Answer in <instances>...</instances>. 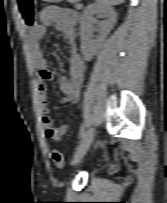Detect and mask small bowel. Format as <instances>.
Here are the masks:
<instances>
[{
    "mask_svg": "<svg viewBox=\"0 0 167 203\" xmlns=\"http://www.w3.org/2000/svg\"><path fill=\"white\" fill-rule=\"evenodd\" d=\"M79 20V14L72 9L49 6L41 11L39 15L40 25L37 30L31 31L28 35V47L37 72V89L42 113V125L45 137L50 140L60 139L68 131L69 125L60 124L54 127L49 117L47 81L53 79L54 74L44 57L41 41L46 28L51 25H55L57 30L67 38L65 51L68 56L69 76L60 77L59 84L64 94L62 103H77L85 73V63L75 47L76 27Z\"/></svg>",
    "mask_w": 167,
    "mask_h": 203,
    "instance_id": "obj_1",
    "label": "small bowel"
}]
</instances>
